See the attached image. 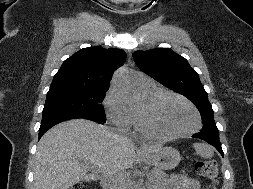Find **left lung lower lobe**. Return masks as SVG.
Returning <instances> with one entry per match:
<instances>
[{"mask_svg": "<svg viewBox=\"0 0 253 189\" xmlns=\"http://www.w3.org/2000/svg\"><path fill=\"white\" fill-rule=\"evenodd\" d=\"M192 137L205 140L206 142L213 145L219 151V153L222 156L224 155V153L222 151V148H221L220 141H219V132H204V131H201L199 133L194 134Z\"/></svg>", "mask_w": 253, "mask_h": 189, "instance_id": "left-lung-lower-lobe-1", "label": "left lung lower lobe"}]
</instances>
